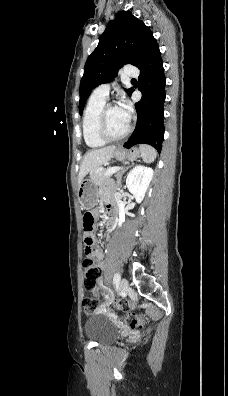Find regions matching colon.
<instances>
[{
	"instance_id": "colon-1",
	"label": "colon",
	"mask_w": 228,
	"mask_h": 396,
	"mask_svg": "<svg viewBox=\"0 0 228 396\" xmlns=\"http://www.w3.org/2000/svg\"><path fill=\"white\" fill-rule=\"evenodd\" d=\"M83 228L85 231V249L82 263L84 287L86 290H92L96 286L100 269L92 253V248L95 244V218L91 212L84 214ZM82 305L84 312L88 315L94 314L100 309L99 302L93 298H85ZM117 307L126 313L124 319L131 328L141 327L143 325L142 319L134 312V305L131 302L119 300Z\"/></svg>"
}]
</instances>
